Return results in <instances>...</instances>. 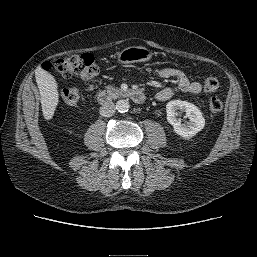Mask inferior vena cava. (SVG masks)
<instances>
[{
    "label": "inferior vena cava",
    "instance_id": "602c4592",
    "mask_svg": "<svg viewBox=\"0 0 257 257\" xmlns=\"http://www.w3.org/2000/svg\"><path fill=\"white\" fill-rule=\"evenodd\" d=\"M116 107L113 102L109 101L100 107V114L104 117H110L114 115Z\"/></svg>",
    "mask_w": 257,
    "mask_h": 257
}]
</instances>
